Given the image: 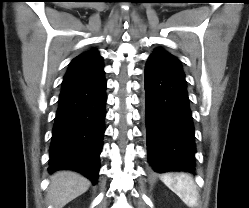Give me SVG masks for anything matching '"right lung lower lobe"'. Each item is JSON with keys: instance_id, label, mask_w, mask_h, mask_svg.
Returning a JSON list of instances; mask_svg holds the SVG:
<instances>
[{"instance_id": "right-lung-lower-lobe-1", "label": "right lung lower lobe", "mask_w": 249, "mask_h": 208, "mask_svg": "<svg viewBox=\"0 0 249 208\" xmlns=\"http://www.w3.org/2000/svg\"><path fill=\"white\" fill-rule=\"evenodd\" d=\"M49 151V172L71 169L97 183L105 132L104 72L63 89L59 95Z\"/></svg>"}]
</instances>
